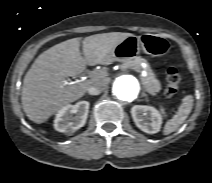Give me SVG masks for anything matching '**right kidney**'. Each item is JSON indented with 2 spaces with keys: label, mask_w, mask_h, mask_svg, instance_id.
I'll use <instances>...</instances> for the list:
<instances>
[{
  "label": "right kidney",
  "mask_w": 212,
  "mask_h": 183,
  "mask_svg": "<svg viewBox=\"0 0 212 183\" xmlns=\"http://www.w3.org/2000/svg\"><path fill=\"white\" fill-rule=\"evenodd\" d=\"M89 105L88 101H79L75 105L63 106L56 114L55 130L70 134L83 127L87 120Z\"/></svg>",
  "instance_id": "right-kidney-1"
}]
</instances>
